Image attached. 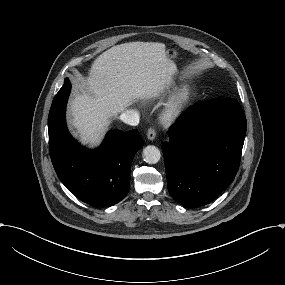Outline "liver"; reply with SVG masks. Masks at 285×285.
I'll return each mask as SVG.
<instances>
[{
    "mask_svg": "<svg viewBox=\"0 0 285 285\" xmlns=\"http://www.w3.org/2000/svg\"><path fill=\"white\" fill-rule=\"evenodd\" d=\"M177 67L165 44L128 42L99 55L69 103V124L83 144H100L112 118L128 106L159 97L175 84Z\"/></svg>",
    "mask_w": 285,
    "mask_h": 285,
    "instance_id": "liver-1",
    "label": "liver"
}]
</instances>
